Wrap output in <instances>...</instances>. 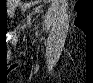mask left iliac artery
<instances>
[{
  "instance_id": "1",
  "label": "left iliac artery",
  "mask_w": 93,
  "mask_h": 83,
  "mask_svg": "<svg viewBox=\"0 0 93 83\" xmlns=\"http://www.w3.org/2000/svg\"><path fill=\"white\" fill-rule=\"evenodd\" d=\"M35 29H37V26H35ZM36 34H37V32H36Z\"/></svg>"
}]
</instances>
